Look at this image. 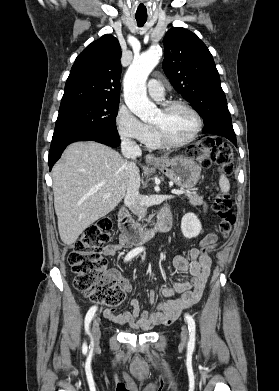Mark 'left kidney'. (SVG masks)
Masks as SVG:
<instances>
[{
  "mask_svg": "<svg viewBox=\"0 0 279 391\" xmlns=\"http://www.w3.org/2000/svg\"><path fill=\"white\" fill-rule=\"evenodd\" d=\"M202 229L198 217L193 213H187L181 221V231L184 237L191 239L197 237Z\"/></svg>",
  "mask_w": 279,
  "mask_h": 391,
  "instance_id": "5707ae66",
  "label": "left kidney"
}]
</instances>
